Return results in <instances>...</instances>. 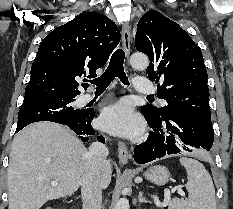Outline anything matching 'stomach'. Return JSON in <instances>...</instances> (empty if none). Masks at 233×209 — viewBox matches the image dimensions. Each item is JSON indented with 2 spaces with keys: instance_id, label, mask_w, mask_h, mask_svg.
<instances>
[{
  "instance_id": "obj_1",
  "label": "stomach",
  "mask_w": 233,
  "mask_h": 209,
  "mask_svg": "<svg viewBox=\"0 0 233 209\" xmlns=\"http://www.w3.org/2000/svg\"><path fill=\"white\" fill-rule=\"evenodd\" d=\"M144 177L151 183L162 186L166 184L170 179V173L167 168L163 166H153L149 168L145 173Z\"/></svg>"
}]
</instances>
